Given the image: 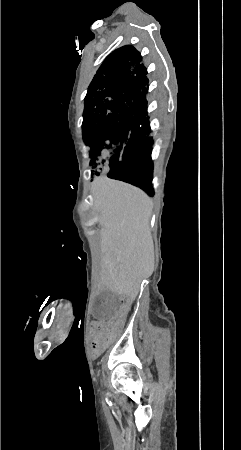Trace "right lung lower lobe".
I'll use <instances>...</instances> for the list:
<instances>
[{
  "label": "right lung lower lobe",
  "instance_id": "right-lung-lower-lobe-1",
  "mask_svg": "<svg viewBox=\"0 0 241 450\" xmlns=\"http://www.w3.org/2000/svg\"><path fill=\"white\" fill-rule=\"evenodd\" d=\"M134 127L144 133V139L130 153L122 157L121 161L109 171L108 177L133 184L153 196L154 191L151 186L153 177L152 140L147 137L151 131L148 118L145 117Z\"/></svg>",
  "mask_w": 241,
  "mask_h": 450
}]
</instances>
